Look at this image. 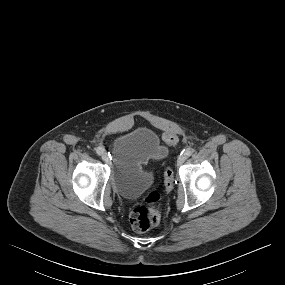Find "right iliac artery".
Masks as SVG:
<instances>
[{"label": "right iliac artery", "instance_id": "82829eb1", "mask_svg": "<svg viewBox=\"0 0 285 285\" xmlns=\"http://www.w3.org/2000/svg\"><path fill=\"white\" fill-rule=\"evenodd\" d=\"M96 153H97L98 155H102V154L104 153V149H103L102 147H97Z\"/></svg>", "mask_w": 285, "mask_h": 285}]
</instances>
